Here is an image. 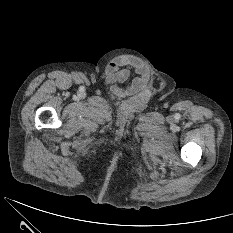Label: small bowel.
<instances>
[{"instance_id":"c3829d8e","label":"small bowel","mask_w":233,"mask_h":233,"mask_svg":"<svg viewBox=\"0 0 233 233\" xmlns=\"http://www.w3.org/2000/svg\"><path fill=\"white\" fill-rule=\"evenodd\" d=\"M134 71L137 76L126 86V82ZM106 81L111 91L118 97L133 96L145 89L149 81L148 67L137 57L118 56L110 61L105 67Z\"/></svg>"}]
</instances>
